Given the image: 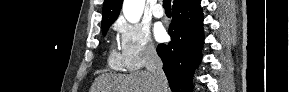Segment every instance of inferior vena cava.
I'll return each instance as SVG.
<instances>
[{"label":"inferior vena cava","instance_id":"obj_1","mask_svg":"<svg viewBox=\"0 0 289 92\" xmlns=\"http://www.w3.org/2000/svg\"><path fill=\"white\" fill-rule=\"evenodd\" d=\"M146 69L153 75L158 92L166 91L168 84L163 71V63L153 45L146 47Z\"/></svg>","mask_w":289,"mask_h":92}]
</instances>
